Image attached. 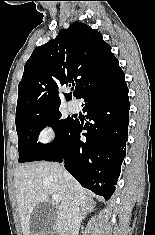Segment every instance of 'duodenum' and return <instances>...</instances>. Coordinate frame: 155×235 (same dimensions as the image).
Here are the masks:
<instances>
[{"label":"duodenum","mask_w":155,"mask_h":235,"mask_svg":"<svg viewBox=\"0 0 155 235\" xmlns=\"http://www.w3.org/2000/svg\"><path fill=\"white\" fill-rule=\"evenodd\" d=\"M54 235H70V232L66 230L65 225L63 223H59L56 226V230L54 231Z\"/></svg>","instance_id":"obj_1"}]
</instances>
